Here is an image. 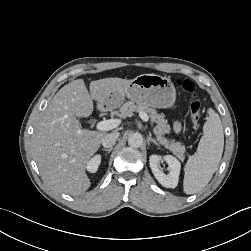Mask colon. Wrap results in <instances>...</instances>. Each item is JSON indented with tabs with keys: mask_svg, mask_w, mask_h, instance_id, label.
Listing matches in <instances>:
<instances>
[{
	"mask_svg": "<svg viewBox=\"0 0 251 251\" xmlns=\"http://www.w3.org/2000/svg\"><path fill=\"white\" fill-rule=\"evenodd\" d=\"M177 84L186 92L193 93L195 84L189 79L178 80ZM190 117L195 128L199 127L201 119V104L195 97L192 98L189 105Z\"/></svg>",
	"mask_w": 251,
	"mask_h": 251,
	"instance_id": "obj_1",
	"label": "colon"
}]
</instances>
